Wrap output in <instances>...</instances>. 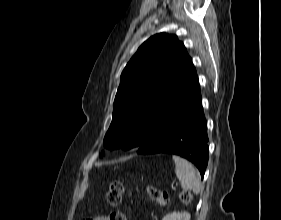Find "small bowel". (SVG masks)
<instances>
[{
    "mask_svg": "<svg viewBox=\"0 0 281 220\" xmlns=\"http://www.w3.org/2000/svg\"><path fill=\"white\" fill-rule=\"evenodd\" d=\"M93 220H108V217H106V216H98V217H95Z\"/></svg>",
    "mask_w": 281,
    "mask_h": 220,
    "instance_id": "c3829d8e",
    "label": "small bowel"
}]
</instances>
